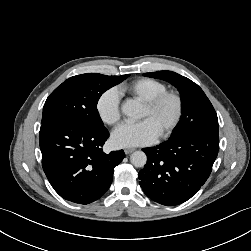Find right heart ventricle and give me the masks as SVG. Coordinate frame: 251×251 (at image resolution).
<instances>
[{"mask_svg": "<svg viewBox=\"0 0 251 251\" xmlns=\"http://www.w3.org/2000/svg\"><path fill=\"white\" fill-rule=\"evenodd\" d=\"M166 89V84L162 81L152 78H140L122 85L119 88V92L129 94L130 96L145 102Z\"/></svg>", "mask_w": 251, "mask_h": 251, "instance_id": "e07e8e85", "label": "right heart ventricle"}]
</instances>
